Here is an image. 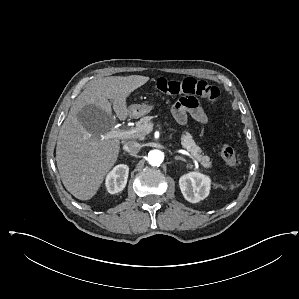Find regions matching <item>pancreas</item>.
Instances as JSON below:
<instances>
[{"instance_id": "1", "label": "pancreas", "mask_w": 299, "mask_h": 299, "mask_svg": "<svg viewBox=\"0 0 299 299\" xmlns=\"http://www.w3.org/2000/svg\"><path fill=\"white\" fill-rule=\"evenodd\" d=\"M153 119L152 116H145L140 119L136 123L135 129H144L148 124L151 123V120ZM145 132L138 133L134 138L142 139L145 136ZM181 144L182 146L188 150L198 161H201L202 165L206 168L210 167V158L208 156L201 155V149L199 146L196 145L195 141L192 139V136L190 133L185 132L181 136Z\"/></svg>"}]
</instances>
